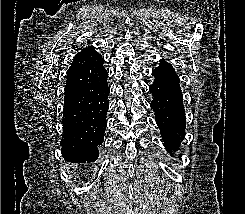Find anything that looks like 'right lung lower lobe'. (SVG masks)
<instances>
[{
	"label": "right lung lower lobe",
	"instance_id": "1",
	"mask_svg": "<svg viewBox=\"0 0 245 214\" xmlns=\"http://www.w3.org/2000/svg\"><path fill=\"white\" fill-rule=\"evenodd\" d=\"M80 52L67 71L64 90L63 137L60 145L68 162H93L99 156L97 146L104 140L107 126L108 73L102 65L101 75L88 84L80 80Z\"/></svg>",
	"mask_w": 245,
	"mask_h": 214
}]
</instances>
